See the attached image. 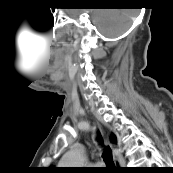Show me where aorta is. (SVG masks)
<instances>
[{"label": "aorta", "mask_w": 173, "mask_h": 173, "mask_svg": "<svg viewBox=\"0 0 173 173\" xmlns=\"http://www.w3.org/2000/svg\"><path fill=\"white\" fill-rule=\"evenodd\" d=\"M83 163V156L80 151H72L68 153L62 160V165H81ZM72 167V166H66Z\"/></svg>", "instance_id": "aorta-1"}]
</instances>
